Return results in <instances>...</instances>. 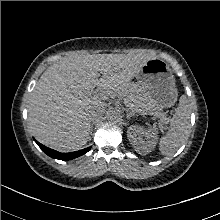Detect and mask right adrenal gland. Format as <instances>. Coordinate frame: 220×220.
Here are the masks:
<instances>
[{
    "label": "right adrenal gland",
    "mask_w": 220,
    "mask_h": 220,
    "mask_svg": "<svg viewBox=\"0 0 220 220\" xmlns=\"http://www.w3.org/2000/svg\"><path fill=\"white\" fill-rule=\"evenodd\" d=\"M92 130H93V124L91 125V132H92Z\"/></svg>",
    "instance_id": "2a0ac1e0"
}]
</instances>
